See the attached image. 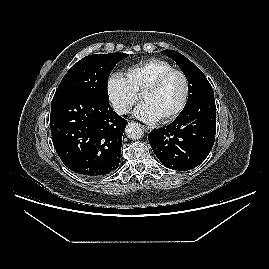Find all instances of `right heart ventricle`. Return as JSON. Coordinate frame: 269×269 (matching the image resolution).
<instances>
[{
  "label": "right heart ventricle",
  "instance_id": "1",
  "mask_svg": "<svg viewBox=\"0 0 269 269\" xmlns=\"http://www.w3.org/2000/svg\"><path fill=\"white\" fill-rule=\"evenodd\" d=\"M174 69L173 65L165 60L151 58L135 64L126 70V78L131 88L140 93L162 73Z\"/></svg>",
  "mask_w": 269,
  "mask_h": 269
}]
</instances>
